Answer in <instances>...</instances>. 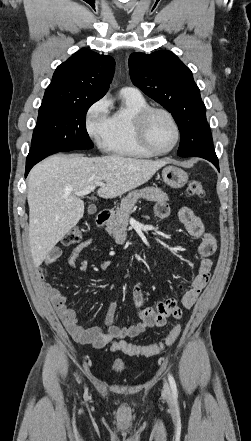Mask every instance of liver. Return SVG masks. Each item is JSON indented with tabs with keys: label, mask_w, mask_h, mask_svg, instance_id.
<instances>
[{
	"label": "liver",
	"mask_w": 251,
	"mask_h": 441,
	"mask_svg": "<svg viewBox=\"0 0 251 441\" xmlns=\"http://www.w3.org/2000/svg\"><path fill=\"white\" fill-rule=\"evenodd\" d=\"M169 160L109 155H54L38 163L28 177L29 243L39 267L54 246L79 222L84 202L75 195L97 182V194L114 198L144 184Z\"/></svg>",
	"instance_id": "obj_1"
}]
</instances>
